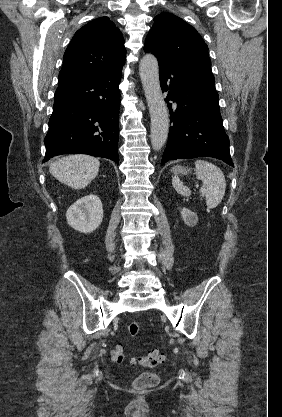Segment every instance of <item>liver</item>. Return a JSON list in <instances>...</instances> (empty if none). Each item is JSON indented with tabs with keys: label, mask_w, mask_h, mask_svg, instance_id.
Returning a JSON list of instances; mask_svg holds the SVG:
<instances>
[{
	"label": "liver",
	"mask_w": 282,
	"mask_h": 417,
	"mask_svg": "<svg viewBox=\"0 0 282 417\" xmlns=\"http://www.w3.org/2000/svg\"><path fill=\"white\" fill-rule=\"evenodd\" d=\"M100 162L88 154H70L55 160L49 166V172L71 188H85L99 172Z\"/></svg>",
	"instance_id": "obj_1"
}]
</instances>
